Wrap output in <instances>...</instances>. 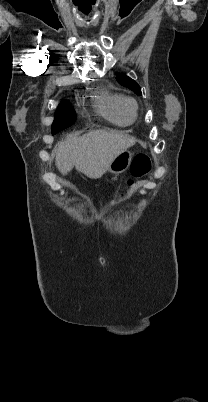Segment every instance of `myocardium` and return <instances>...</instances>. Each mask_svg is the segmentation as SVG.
Listing matches in <instances>:
<instances>
[{
	"label": "myocardium",
	"instance_id": "f54148a6",
	"mask_svg": "<svg viewBox=\"0 0 208 402\" xmlns=\"http://www.w3.org/2000/svg\"><path fill=\"white\" fill-rule=\"evenodd\" d=\"M123 107L128 114L132 115L133 117H137L139 105L133 97H123Z\"/></svg>",
	"mask_w": 208,
	"mask_h": 402
}]
</instances>
